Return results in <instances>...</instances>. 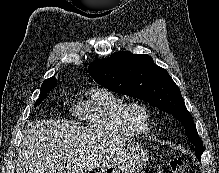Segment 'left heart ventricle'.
<instances>
[{"instance_id": "left-heart-ventricle-1", "label": "left heart ventricle", "mask_w": 219, "mask_h": 173, "mask_svg": "<svg viewBox=\"0 0 219 173\" xmlns=\"http://www.w3.org/2000/svg\"><path fill=\"white\" fill-rule=\"evenodd\" d=\"M136 116H137V119H138L139 121H143V120H144V115H143L142 112H137Z\"/></svg>"}]
</instances>
